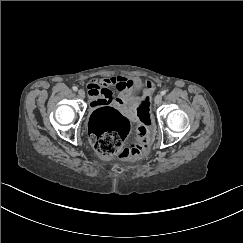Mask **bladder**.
Here are the masks:
<instances>
[{"mask_svg":"<svg viewBox=\"0 0 243 243\" xmlns=\"http://www.w3.org/2000/svg\"><path fill=\"white\" fill-rule=\"evenodd\" d=\"M142 87V82L140 79H134L133 80V89L134 91H139Z\"/></svg>","mask_w":243,"mask_h":243,"instance_id":"obj_1","label":"bladder"}]
</instances>
